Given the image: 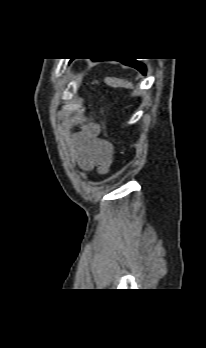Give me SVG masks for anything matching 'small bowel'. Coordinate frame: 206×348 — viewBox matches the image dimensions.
I'll return each instance as SVG.
<instances>
[{
	"mask_svg": "<svg viewBox=\"0 0 206 348\" xmlns=\"http://www.w3.org/2000/svg\"><path fill=\"white\" fill-rule=\"evenodd\" d=\"M73 139L77 146V158L80 166L90 170L96 168L106 173L113 160V146L109 141L92 134H75Z\"/></svg>",
	"mask_w": 206,
	"mask_h": 348,
	"instance_id": "small-bowel-1",
	"label": "small bowel"
}]
</instances>
